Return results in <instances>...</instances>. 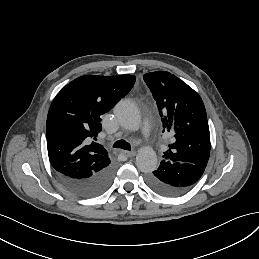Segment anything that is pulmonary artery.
<instances>
[{"label": "pulmonary artery", "instance_id": "1", "mask_svg": "<svg viewBox=\"0 0 259 259\" xmlns=\"http://www.w3.org/2000/svg\"><path fill=\"white\" fill-rule=\"evenodd\" d=\"M144 126V133L147 134L149 131V122L147 120H141V119H134V120H129L125 123V127L127 129H131V130H137L139 129L141 126Z\"/></svg>", "mask_w": 259, "mask_h": 259}]
</instances>
